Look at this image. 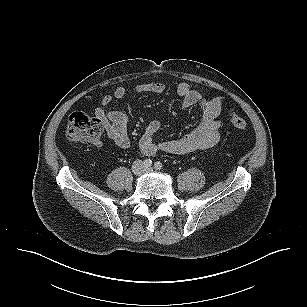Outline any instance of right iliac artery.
<instances>
[{"label": "right iliac artery", "instance_id": "82829eb1", "mask_svg": "<svg viewBox=\"0 0 307 307\" xmlns=\"http://www.w3.org/2000/svg\"><path fill=\"white\" fill-rule=\"evenodd\" d=\"M143 164L146 168L151 167L152 166V160L146 159V160H144Z\"/></svg>", "mask_w": 307, "mask_h": 307}]
</instances>
